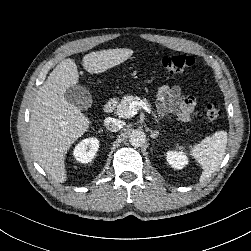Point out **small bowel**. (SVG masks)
I'll return each mask as SVG.
<instances>
[{"instance_id":"c3829d8e","label":"small bowel","mask_w":251,"mask_h":251,"mask_svg":"<svg viewBox=\"0 0 251 251\" xmlns=\"http://www.w3.org/2000/svg\"><path fill=\"white\" fill-rule=\"evenodd\" d=\"M160 113H173L180 121L188 122L196 107V99L183 97L179 86L163 85L157 90Z\"/></svg>"}]
</instances>
